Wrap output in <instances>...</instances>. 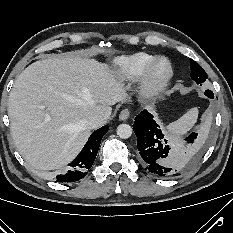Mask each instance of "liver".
Here are the masks:
<instances>
[{"label": "liver", "mask_w": 233, "mask_h": 233, "mask_svg": "<svg viewBox=\"0 0 233 233\" xmlns=\"http://www.w3.org/2000/svg\"><path fill=\"white\" fill-rule=\"evenodd\" d=\"M127 99L119 76L107 63L80 56L49 57L23 70L9 95L8 116L16 147L38 170L71 162L91 134L90 114L109 118Z\"/></svg>", "instance_id": "1"}]
</instances>
